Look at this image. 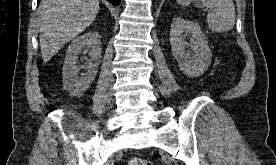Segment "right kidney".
I'll return each instance as SVG.
<instances>
[{"label":"right kidney","instance_id":"1","mask_svg":"<svg viewBox=\"0 0 276 165\" xmlns=\"http://www.w3.org/2000/svg\"><path fill=\"white\" fill-rule=\"evenodd\" d=\"M83 49L89 51V59L84 65L77 64V55ZM101 59L100 35L96 31H90L75 38L69 45L63 65V85L71 96H80L92 84L96 77L97 66ZM86 72L81 77L79 71Z\"/></svg>","mask_w":276,"mask_h":165}]
</instances>
